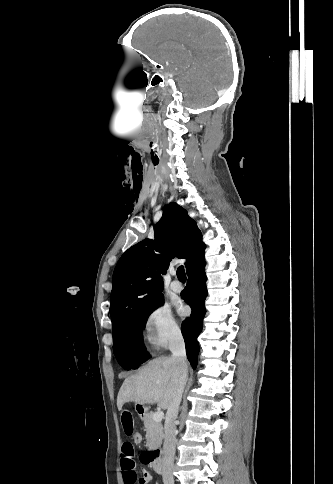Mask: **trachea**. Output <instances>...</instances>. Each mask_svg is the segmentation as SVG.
<instances>
[{
    "label": "trachea",
    "mask_w": 333,
    "mask_h": 484,
    "mask_svg": "<svg viewBox=\"0 0 333 484\" xmlns=\"http://www.w3.org/2000/svg\"><path fill=\"white\" fill-rule=\"evenodd\" d=\"M177 277L179 280H186V274H185V270H184V267L181 265L178 267L177 269Z\"/></svg>",
    "instance_id": "trachea-1"
}]
</instances>
